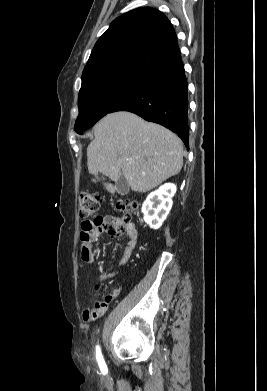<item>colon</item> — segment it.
<instances>
[{"instance_id": "obj_1", "label": "colon", "mask_w": 267, "mask_h": 391, "mask_svg": "<svg viewBox=\"0 0 267 391\" xmlns=\"http://www.w3.org/2000/svg\"><path fill=\"white\" fill-rule=\"evenodd\" d=\"M103 201L102 196L99 193L91 191H83L79 196V215L85 221L88 218L94 217L95 221H98L100 216H96L100 209V205ZM117 208L121 212L119 218H116L119 224L124 225L128 223L132 216L137 213L139 204L137 201L127 200L118 203ZM81 246L86 248L87 239L82 237L80 239Z\"/></svg>"}]
</instances>
